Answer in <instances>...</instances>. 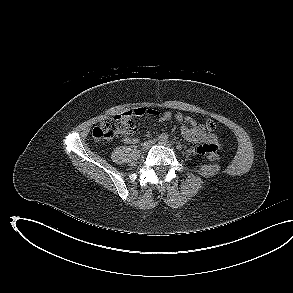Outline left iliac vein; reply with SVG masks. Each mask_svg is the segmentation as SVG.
Here are the masks:
<instances>
[{
	"label": "left iliac vein",
	"mask_w": 293,
	"mask_h": 293,
	"mask_svg": "<svg viewBox=\"0 0 293 293\" xmlns=\"http://www.w3.org/2000/svg\"><path fill=\"white\" fill-rule=\"evenodd\" d=\"M158 143L162 146L171 147V144L167 141H159Z\"/></svg>",
	"instance_id": "1"
}]
</instances>
